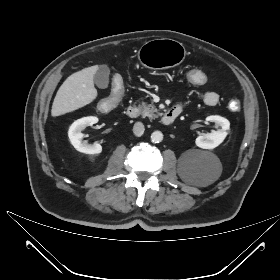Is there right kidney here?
I'll list each match as a JSON object with an SVG mask.
<instances>
[{
  "mask_svg": "<svg viewBox=\"0 0 280 280\" xmlns=\"http://www.w3.org/2000/svg\"><path fill=\"white\" fill-rule=\"evenodd\" d=\"M98 122V118L95 116L83 117L76 120L69 128L68 137L74 148L85 154H99L102 151V146L95 142L89 144L87 141H83L84 134L81 132L85 127L92 126Z\"/></svg>",
  "mask_w": 280,
  "mask_h": 280,
  "instance_id": "obj_1",
  "label": "right kidney"
}]
</instances>
